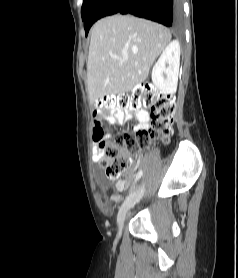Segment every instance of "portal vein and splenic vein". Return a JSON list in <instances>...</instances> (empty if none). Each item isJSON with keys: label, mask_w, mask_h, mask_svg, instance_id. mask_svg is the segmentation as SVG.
Wrapping results in <instances>:
<instances>
[{"label": "portal vein and splenic vein", "mask_w": 238, "mask_h": 278, "mask_svg": "<svg viewBox=\"0 0 238 278\" xmlns=\"http://www.w3.org/2000/svg\"><path fill=\"white\" fill-rule=\"evenodd\" d=\"M127 59H128L127 56H124V57H123V60H127Z\"/></svg>", "instance_id": "1"}]
</instances>
